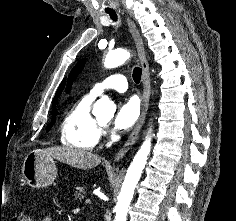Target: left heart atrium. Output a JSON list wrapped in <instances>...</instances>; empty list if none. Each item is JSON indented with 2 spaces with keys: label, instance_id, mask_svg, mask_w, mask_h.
<instances>
[{
  "label": "left heart atrium",
  "instance_id": "39dd6f15",
  "mask_svg": "<svg viewBox=\"0 0 236 221\" xmlns=\"http://www.w3.org/2000/svg\"><path fill=\"white\" fill-rule=\"evenodd\" d=\"M140 112L139 102L136 98H126L118 104L117 112L113 121V129L125 131L133 126Z\"/></svg>",
  "mask_w": 236,
  "mask_h": 221
}]
</instances>
